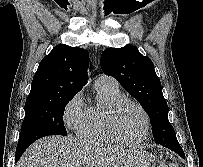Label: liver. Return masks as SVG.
I'll use <instances>...</instances> for the list:
<instances>
[{"label": "liver", "mask_w": 203, "mask_h": 167, "mask_svg": "<svg viewBox=\"0 0 203 167\" xmlns=\"http://www.w3.org/2000/svg\"><path fill=\"white\" fill-rule=\"evenodd\" d=\"M144 155L71 137L50 136L33 143L17 167H149Z\"/></svg>", "instance_id": "obj_1"}]
</instances>
